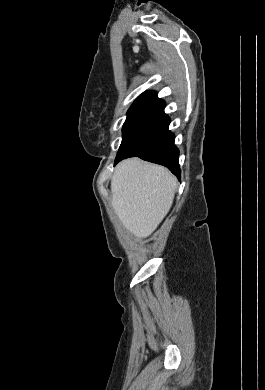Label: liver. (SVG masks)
Here are the masks:
<instances>
[{
    "instance_id": "obj_1",
    "label": "liver",
    "mask_w": 265,
    "mask_h": 390,
    "mask_svg": "<svg viewBox=\"0 0 265 390\" xmlns=\"http://www.w3.org/2000/svg\"><path fill=\"white\" fill-rule=\"evenodd\" d=\"M177 179L163 166L129 158L111 178L112 206L123 226L136 238H146L169 212Z\"/></svg>"
}]
</instances>
